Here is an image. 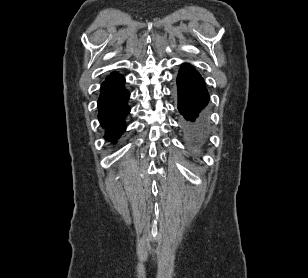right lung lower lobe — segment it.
Masks as SVG:
<instances>
[{
    "instance_id": "obj_1",
    "label": "right lung lower lobe",
    "mask_w": 308,
    "mask_h": 278,
    "mask_svg": "<svg viewBox=\"0 0 308 278\" xmlns=\"http://www.w3.org/2000/svg\"><path fill=\"white\" fill-rule=\"evenodd\" d=\"M130 94L124 87V78L103 82L98 99V118L106 129L105 139L116 142L126 129L124 119L130 112L127 100Z\"/></svg>"
}]
</instances>
